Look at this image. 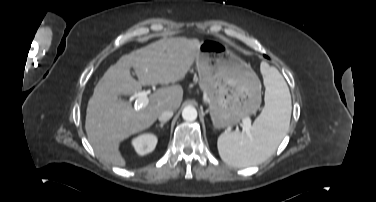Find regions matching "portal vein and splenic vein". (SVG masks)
I'll return each instance as SVG.
<instances>
[{"label": "portal vein and splenic vein", "mask_w": 376, "mask_h": 202, "mask_svg": "<svg viewBox=\"0 0 376 202\" xmlns=\"http://www.w3.org/2000/svg\"><path fill=\"white\" fill-rule=\"evenodd\" d=\"M149 102V98L147 96V94L145 92H142L138 98L136 99V102H135V108L139 109L143 106H146ZM250 126H251V123H250V120L249 119H245L244 122H243V127H244V130L247 134L250 133Z\"/></svg>", "instance_id": "obj_1"}]
</instances>
